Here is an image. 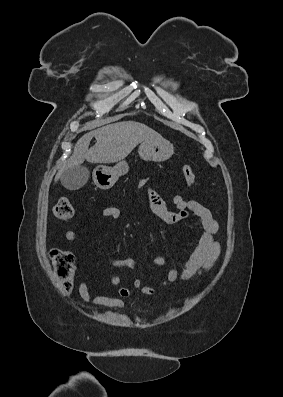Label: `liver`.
<instances>
[{
  "label": "liver",
  "mask_w": 283,
  "mask_h": 397,
  "mask_svg": "<svg viewBox=\"0 0 283 397\" xmlns=\"http://www.w3.org/2000/svg\"><path fill=\"white\" fill-rule=\"evenodd\" d=\"M93 137L96 138V144L89 149ZM161 138L159 133L139 122L123 121L103 126L83 135L77 141L56 181L65 170L80 166L85 160L90 163L118 162L126 158L139 143Z\"/></svg>",
  "instance_id": "6515ba94"
}]
</instances>
